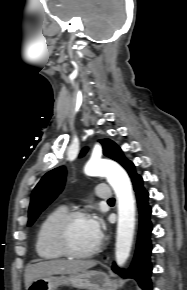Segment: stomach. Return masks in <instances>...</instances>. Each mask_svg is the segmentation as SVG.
Segmentation results:
<instances>
[{
	"mask_svg": "<svg viewBox=\"0 0 187 290\" xmlns=\"http://www.w3.org/2000/svg\"><path fill=\"white\" fill-rule=\"evenodd\" d=\"M71 285L86 290H116L117 283L101 271L84 270L73 274L48 275L33 280L27 290H56Z\"/></svg>",
	"mask_w": 187,
	"mask_h": 290,
	"instance_id": "0dacf381",
	"label": "stomach"
}]
</instances>
